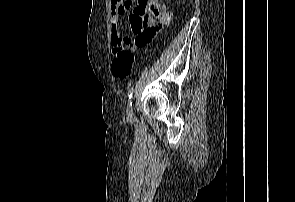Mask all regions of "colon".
<instances>
[{
    "label": "colon",
    "instance_id": "1",
    "mask_svg": "<svg viewBox=\"0 0 295 202\" xmlns=\"http://www.w3.org/2000/svg\"><path fill=\"white\" fill-rule=\"evenodd\" d=\"M125 43L127 42L125 41ZM133 62V53L125 46L119 47L114 51V58L111 64L112 74L119 79H126L132 71Z\"/></svg>",
    "mask_w": 295,
    "mask_h": 202
}]
</instances>
